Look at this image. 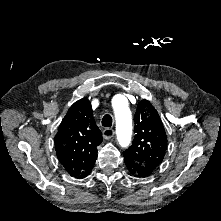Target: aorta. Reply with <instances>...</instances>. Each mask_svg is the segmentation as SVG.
<instances>
[{
  "mask_svg": "<svg viewBox=\"0 0 221 221\" xmlns=\"http://www.w3.org/2000/svg\"><path fill=\"white\" fill-rule=\"evenodd\" d=\"M116 118V134L119 144L128 147L132 137L131 112L125 98L114 104Z\"/></svg>",
  "mask_w": 221,
  "mask_h": 221,
  "instance_id": "762f6f07",
  "label": "aorta"
}]
</instances>
